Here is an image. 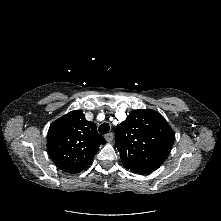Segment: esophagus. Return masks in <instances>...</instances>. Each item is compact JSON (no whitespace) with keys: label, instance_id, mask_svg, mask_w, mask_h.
I'll use <instances>...</instances> for the list:
<instances>
[{"label":"esophagus","instance_id":"obj_1","mask_svg":"<svg viewBox=\"0 0 221 221\" xmlns=\"http://www.w3.org/2000/svg\"><path fill=\"white\" fill-rule=\"evenodd\" d=\"M113 137H114V135H113L112 132H110V133H108V134L105 135V139H106V141L109 142V143L113 140Z\"/></svg>","mask_w":221,"mask_h":221}]
</instances>
